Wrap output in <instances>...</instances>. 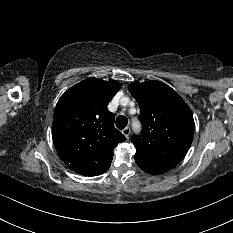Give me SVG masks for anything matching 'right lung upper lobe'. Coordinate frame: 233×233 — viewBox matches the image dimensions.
Wrapping results in <instances>:
<instances>
[{"mask_svg": "<svg viewBox=\"0 0 233 233\" xmlns=\"http://www.w3.org/2000/svg\"><path fill=\"white\" fill-rule=\"evenodd\" d=\"M120 88L114 80L88 78L60 97L52 138L60 158L73 171L84 176L105 173L114 148L126 140L114 127L115 116L107 109Z\"/></svg>", "mask_w": 233, "mask_h": 233, "instance_id": "right-lung-upper-lobe-1", "label": "right lung upper lobe"}]
</instances>
